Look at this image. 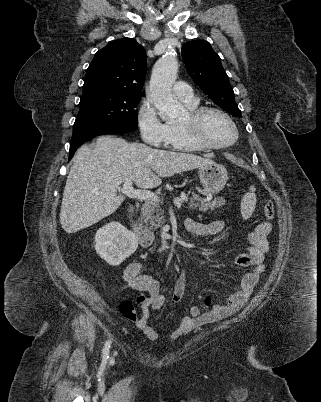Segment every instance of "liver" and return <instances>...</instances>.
I'll use <instances>...</instances> for the list:
<instances>
[{
  "mask_svg": "<svg viewBox=\"0 0 321 402\" xmlns=\"http://www.w3.org/2000/svg\"><path fill=\"white\" fill-rule=\"evenodd\" d=\"M190 153L154 149L116 136H100L95 148L76 153L64 188L60 223L67 233L87 228L114 213L125 200L119 185L130 180L139 188H154L163 177L213 164Z\"/></svg>",
  "mask_w": 321,
  "mask_h": 402,
  "instance_id": "1",
  "label": "liver"
}]
</instances>
